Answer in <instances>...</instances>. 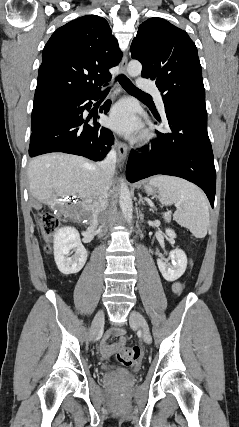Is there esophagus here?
Listing matches in <instances>:
<instances>
[{"mask_svg":"<svg viewBox=\"0 0 239 427\" xmlns=\"http://www.w3.org/2000/svg\"><path fill=\"white\" fill-rule=\"evenodd\" d=\"M127 64H128V58H127V55L124 54L120 64V71L124 75H127ZM117 150H118L120 159L124 160L127 157V153H128L127 145L124 142L118 141Z\"/></svg>","mask_w":239,"mask_h":427,"instance_id":"34e87169","label":"esophagus"}]
</instances>
